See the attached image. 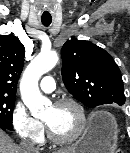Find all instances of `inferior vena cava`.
Wrapping results in <instances>:
<instances>
[{
    "label": "inferior vena cava",
    "mask_w": 130,
    "mask_h": 153,
    "mask_svg": "<svg viewBox=\"0 0 130 153\" xmlns=\"http://www.w3.org/2000/svg\"><path fill=\"white\" fill-rule=\"evenodd\" d=\"M22 148L24 153H39L38 148L29 140L22 142Z\"/></svg>",
    "instance_id": "obj_1"
}]
</instances>
